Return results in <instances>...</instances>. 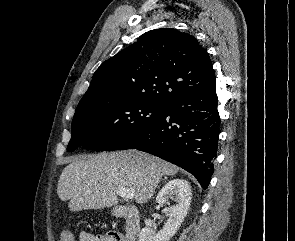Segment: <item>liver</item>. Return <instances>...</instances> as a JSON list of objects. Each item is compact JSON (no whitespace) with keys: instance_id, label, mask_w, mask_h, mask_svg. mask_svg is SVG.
<instances>
[{"instance_id":"liver-1","label":"liver","mask_w":295,"mask_h":241,"mask_svg":"<svg viewBox=\"0 0 295 241\" xmlns=\"http://www.w3.org/2000/svg\"><path fill=\"white\" fill-rule=\"evenodd\" d=\"M177 171V166L136 150L79 156L62 171L57 194L69 201L73 212L116 205L121 187L134 189L135 201L142 204L153 196L162 176Z\"/></svg>"}]
</instances>
